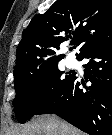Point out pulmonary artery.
<instances>
[{"mask_svg":"<svg viewBox=\"0 0 112 135\" xmlns=\"http://www.w3.org/2000/svg\"><path fill=\"white\" fill-rule=\"evenodd\" d=\"M66 63H67V65H68L69 67H71V66L74 65L75 61H74L73 59H67V60H66Z\"/></svg>","mask_w":112,"mask_h":135,"instance_id":"obj_1","label":"pulmonary artery"}]
</instances>
